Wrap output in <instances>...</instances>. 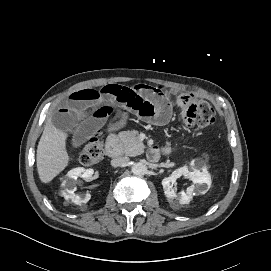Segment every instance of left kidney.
Wrapping results in <instances>:
<instances>
[{"label": "left kidney", "instance_id": "left-kidney-1", "mask_svg": "<svg viewBox=\"0 0 271 271\" xmlns=\"http://www.w3.org/2000/svg\"><path fill=\"white\" fill-rule=\"evenodd\" d=\"M185 176L193 181L194 184H198L202 187V190H206V186L211 183L210 175L206 168L194 169L190 171L186 166L175 169L171 176L166 177L162 180V186L164 194L168 199H179L180 204H188L192 199V194L195 190V186H190L186 191H181L179 195L174 191L173 184L181 176Z\"/></svg>", "mask_w": 271, "mask_h": 271}]
</instances>
